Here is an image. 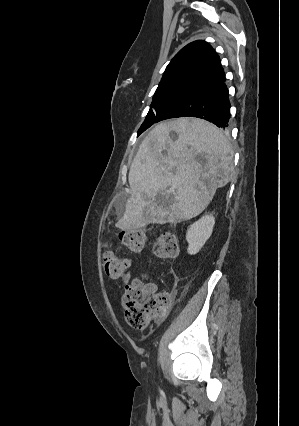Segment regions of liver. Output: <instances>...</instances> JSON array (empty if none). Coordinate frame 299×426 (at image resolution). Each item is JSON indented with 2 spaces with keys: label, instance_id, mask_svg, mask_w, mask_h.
<instances>
[{
  "label": "liver",
  "instance_id": "obj_1",
  "mask_svg": "<svg viewBox=\"0 0 299 426\" xmlns=\"http://www.w3.org/2000/svg\"><path fill=\"white\" fill-rule=\"evenodd\" d=\"M232 178L233 152L221 129L198 118L159 123L133 159L131 197L116 227L133 230L194 218Z\"/></svg>",
  "mask_w": 299,
  "mask_h": 426
}]
</instances>
